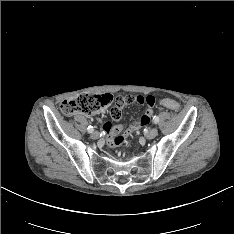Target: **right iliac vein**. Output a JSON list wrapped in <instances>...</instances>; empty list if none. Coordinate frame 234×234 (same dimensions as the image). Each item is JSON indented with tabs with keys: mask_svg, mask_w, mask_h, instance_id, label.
Listing matches in <instances>:
<instances>
[{
	"mask_svg": "<svg viewBox=\"0 0 234 234\" xmlns=\"http://www.w3.org/2000/svg\"><path fill=\"white\" fill-rule=\"evenodd\" d=\"M91 137L93 139H97L99 137V133L97 131L92 132Z\"/></svg>",
	"mask_w": 234,
	"mask_h": 234,
	"instance_id": "63e3f726",
	"label": "right iliac vein"
}]
</instances>
